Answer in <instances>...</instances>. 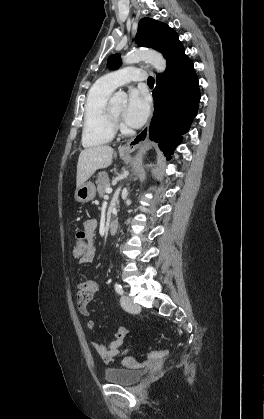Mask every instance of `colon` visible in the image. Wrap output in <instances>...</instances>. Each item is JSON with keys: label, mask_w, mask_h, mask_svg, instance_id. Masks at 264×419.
<instances>
[{"label": "colon", "mask_w": 264, "mask_h": 419, "mask_svg": "<svg viewBox=\"0 0 264 419\" xmlns=\"http://www.w3.org/2000/svg\"><path fill=\"white\" fill-rule=\"evenodd\" d=\"M73 252L76 256H84L89 248V238L85 230H79L76 232L73 239ZM168 354V351H151L147 353L148 359L155 360L164 358Z\"/></svg>", "instance_id": "colon-1"}]
</instances>
